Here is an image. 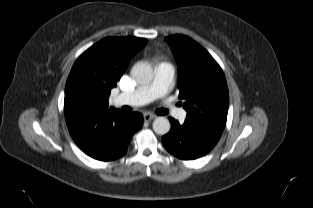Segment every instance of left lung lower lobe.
<instances>
[{
    "instance_id": "0a47b994",
    "label": "left lung lower lobe",
    "mask_w": 313,
    "mask_h": 208,
    "mask_svg": "<svg viewBox=\"0 0 313 208\" xmlns=\"http://www.w3.org/2000/svg\"><path fill=\"white\" fill-rule=\"evenodd\" d=\"M171 130L162 137L166 149L179 159L193 160L207 154L218 142L223 130L199 126L185 120L179 124L170 118Z\"/></svg>"
}]
</instances>
